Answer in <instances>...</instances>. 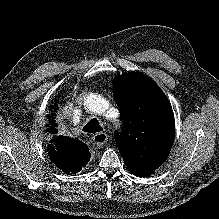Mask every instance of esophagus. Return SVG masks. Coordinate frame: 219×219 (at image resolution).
Instances as JSON below:
<instances>
[{
  "label": "esophagus",
  "instance_id": "esophagus-1",
  "mask_svg": "<svg viewBox=\"0 0 219 219\" xmlns=\"http://www.w3.org/2000/svg\"><path fill=\"white\" fill-rule=\"evenodd\" d=\"M92 139H93V143L96 146L101 147L107 142L108 135L106 133L99 132V133H96Z\"/></svg>",
  "mask_w": 219,
  "mask_h": 219
}]
</instances>
